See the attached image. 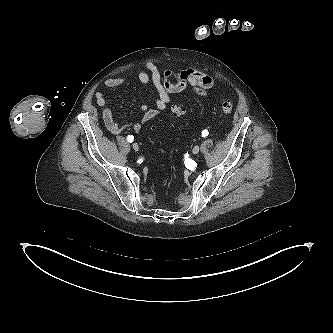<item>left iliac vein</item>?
I'll list each match as a JSON object with an SVG mask.
<instances>
[{
    "mask_svg": "<svg viewBox=\"0 0 333 333\" xmlns=\"http://www.w3.org/2000/svg\"><path fill=\"white\" fill-rule=\"evenodd\" d=\"M199 150H200L199 146H195L193 148L192 152H193V154H198Z\"/></svg>",
    "mask_w": 333,
    "mask_h": 333,
    "instance_id": "1",
    "label": "left iliac vein"
}]
</instances>
